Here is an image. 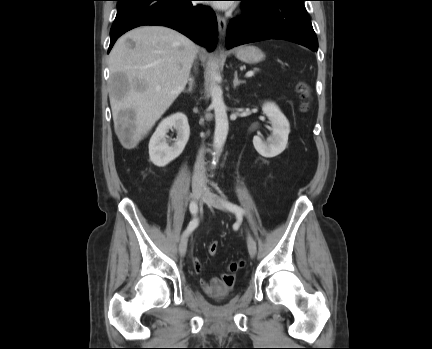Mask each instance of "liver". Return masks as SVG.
<instances>
[{"mask_svg":"<svg viewBox=\"0 0 432 349\" xmlns=\"http://www.w3.org/2000/svg\"><path fill=\"white\" fill-rule=\"evenodd\" d=\"M198 52L204 59L205 49L162 26L138 27L117 40L109 56V99L125 149L135 148L183 91Z\"/></svg>","mask_w":432,"mask_h":349,"instance_id":"obj_1","label":"liver"}]
</instances>
